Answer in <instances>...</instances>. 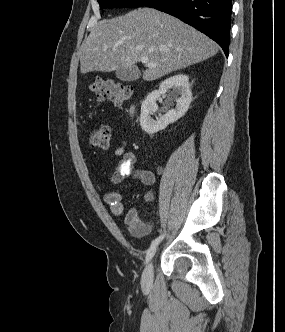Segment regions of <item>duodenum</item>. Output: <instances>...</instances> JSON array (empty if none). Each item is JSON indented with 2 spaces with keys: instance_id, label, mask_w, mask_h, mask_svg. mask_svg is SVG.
Returning a JSON list of instances; mask_svg holds the SVG:
<instances>
[{
  "instance_id": "1",
  "label": "duodenum",
  "mask_w": 285,
  "mask_h": 332,
  "mask_svg": "<svg viewBox=\"0 0 285 332\" xmlns=\"http://www.w3.org/2000/svg\"><path fill=\"white\" fill-rule=\"evenodd\" d=\"M133 113H134V108L131 107V108H130V114H133Z\"/></svg>"
}]
</instances>
